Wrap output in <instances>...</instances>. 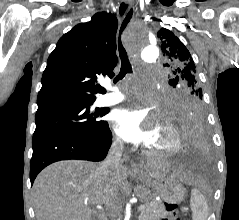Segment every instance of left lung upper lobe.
I'll list each match as a JSON object with an SVG mask.
<instances>
[{
	"label": "left lung upper lobe",
	"instance_id": "left-lung-upper-lobe-1",
	"mask_svg": "<svg viewBox=\"0 0 239 220\" xmlns=\"http://www.w3.org/2000/svg\"><path fill=\"white\" fill-rule=\"evenodd\" d=\"M157 36L166 58L164 67L169 71L167 111L175 119L185 108L203 107L202 89L191 54L179 38L165 28Z\"/></svg>",
	"mask_w": 239,
	"mask_h": 220
}]
</instances>
